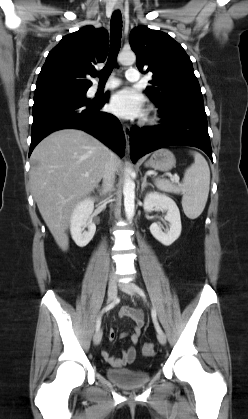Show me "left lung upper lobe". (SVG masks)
Wrapping results in <instances>:
<instances>
[{
    "label": "left lung upper lobe",
    "mask_w": 248,
    "mask_h": 419,
    "mask_svg": "<svg viewBox=\"0 0 248 419\" xmlns=\"http://www.w3.org/2000/svg\"><path fill=\"white\" fill-rule=\"evenodd\" d=\"M129 42L136 53L138 69L153 73L146 94L159 109L187 103L203 104L192 62L171 36L139 26L131 31Z\"/></svg>",
    "instance_id": "1"
}]
</instances>
